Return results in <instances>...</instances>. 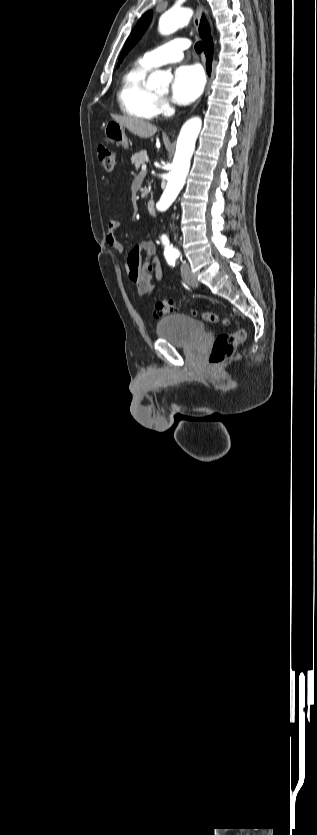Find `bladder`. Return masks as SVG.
<instances>
[{
	"instance_id": "1",
	"label": "bladder",
	"mask_w": 317,
	"mask_h": 835,
	"mask_svg": "<svg viewBox=\"0 0 317 835\" xmlns=\"http://www.w3.org/2000/svg\"><path fill=\"white\" fill-rule=\"evenodd\" d=\"M204 324L185 314H169L162 317L156 325L158 338L174 345L187 346L205 334Z\"/></svg>"
}]
</instances>
